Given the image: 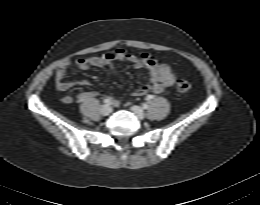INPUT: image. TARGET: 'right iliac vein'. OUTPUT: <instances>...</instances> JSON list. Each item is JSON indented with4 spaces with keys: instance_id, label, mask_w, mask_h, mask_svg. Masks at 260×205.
I'll use <instances>...</instances> for the list:
<instances>
[{
    "instance_id": "obj_1",
    "label": "right iliac vein",
    "mask_w": 260,
    "mask_h": 205,
    "mask_svg": "<svg viewBox=\"0 0 260 205\" xmlns=\"http://www.w3.org/2000/svg\"><path fill=\"white\" fill-rule=\"evenodd\" d=\"M112 112V108L109 105H103L101 107V113L104 116L109 115Z\"/></svg>"
}]
</instances>
